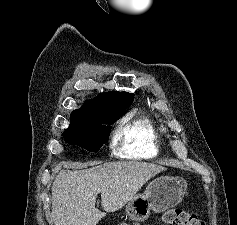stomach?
<instances>
[{"instance_id":"1","label":"stomach","mask_w":237,"mask_h":225,"mask_svg":"<svg viewBox=\"0 0 237 225\" xmlns=\"http://www.w3.org/2000/svg\"><path fill=\"white\" fill-rule=\"evenodd\" d=\"M187 189L186 180L162 176L151 181L144 194L135 195L126 205V215L133 221H143L150 211L161 213L178 203Z\"/></svg>"}]
</instances>
